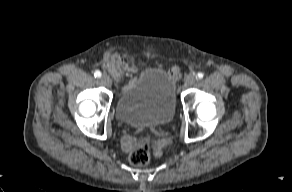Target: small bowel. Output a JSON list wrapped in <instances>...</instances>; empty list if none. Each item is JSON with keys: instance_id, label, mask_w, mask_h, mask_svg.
Listing matches in <instances>:
<instances>
[{"instance_id": "c3829d8e", "label": "small bowel", "mask_w": 292, "mask_h": 192, "mask_svg": "<svg viewBox=\"0 0 292 192\" xmlns=\"http://www.w3.org/2000/svg\"><path fill=\"white\" fill-rule=\"evenodd\" d=\"M179 74H180V71L176 67L172 68L169 71V76L171 78H173V79L178 78ZM168 133H171V130H168ZM148 134H152V131H148ZM161 135H164V132H161ZM170 143H171V140L167 136L162 137L161 140H159L157 138L152 139L151 142H150V145L153 148V150H152L153 155L156 156V157L161 156L162 153H163V150L160 147V145H162L164 147H167V146L170 145ZM134 146H135V143H134L132 138H130L129 136L124 137V139H123V147L126 150H131V149L134 148Z\"/></svg>"}]
</instances>
